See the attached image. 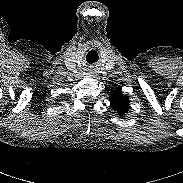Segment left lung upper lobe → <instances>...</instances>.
Here are the masks:
<instances>
[{
    "label": "left lung upper lobe",
    "instance_id": "obj_1",
    "mask_svg": "<svg viewBox=\"0 0 183 183\" xmlns=\"http://www.w3.org/2000/svg\"><path fill=\"white\" fill-rule=\"evenodd\" d=\"M112 109L123 116L129 110V97L123 96L121 88H116L109 96Z\"/></svg>",
    "mask_w": 183,
    "mask_h": 183
}]
</instances>
